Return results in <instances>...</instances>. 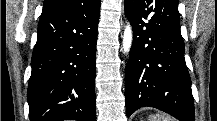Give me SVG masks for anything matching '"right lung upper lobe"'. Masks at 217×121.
<instances>
[{"mask_svg": "<svg viewBox=\"0 0 217 121\" xmlns=\"http://www.w3.org/2000/svg\"><path fill=\"white\" fill-rule=\"evenodd\" d=\"M78 0H45L43 11L77 3Z\"/></svg>", "mask_w": 217, "mask_h": 121, "instance_id": "right-lung-upper-lobe-1", "label": "right lung upper lobe"}]
</instances>
